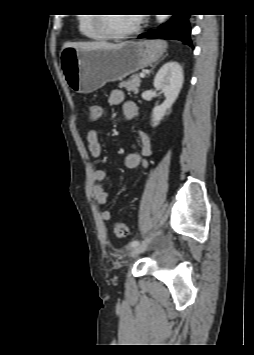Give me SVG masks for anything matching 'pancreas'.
<instances>
[{
    "mask_svg": "<svg viewBox=\"0 0 254 355\" xmlns=\"http://www.w3.org/2000/svg\"><path fill=\"white\" fill-rule=\"evenodd\" d=\"M140 84H141V79H140L139 75H133L127 81H122L119 84V88L126 89L128 91V93L133 92L134 94H138Z\"/></svg>",
    "mask_w": 254,
    "mask_h": 355,
    "instance_id": "obj_1",
    "label": "pancreas"
}]
</instances>
